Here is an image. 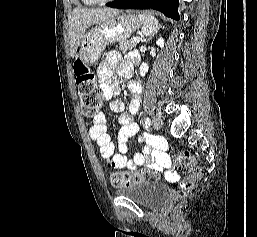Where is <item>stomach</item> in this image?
I'll return each mask as SVG.
<instances>
[{"instance_id": "0dacf381", "label": "stomach", "mask_w": 257, "mask_h": 237, "mask_svg": "<svg viewBox=\"0 0 257 237\" xmlns=\"http://www.w3.org/2000/svg\"><path fill=\"white\" fill-rule=\"evenodd\" d=\"M140 25L141 21L133 14L115 13L86 32L81 41L79 58L85 65L95 64L107 45L127 40Z\"/></svg>"}]
</instances>
